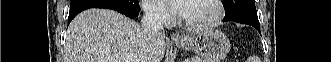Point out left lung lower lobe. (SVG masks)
Segmentation results:
<instances>
[{"mask_svg": "<svg viewBox=\"0 0 331 62\" xmlns=\"http://www.w3.org/2000/svg\"><path fill=\"white\" fill-rule=\"evenodd\" d=\"M224 22L233 21L241 24H246L254 27L260 33V24L258 17H252L248 15H236L231 17H225Z\"/></svg>", "mask_w": 331, "mask_h": 62, "instance_id": "left-lung-lower-lobe-1", "label": "left lung lower lobe"}]
</instances>
